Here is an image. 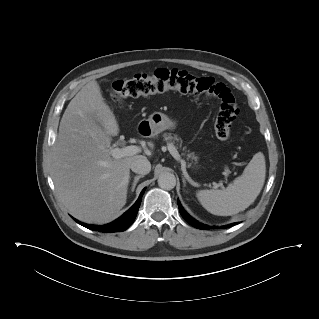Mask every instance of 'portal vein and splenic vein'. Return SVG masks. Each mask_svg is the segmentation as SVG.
<instances>
[{
	"label": "portal vein and splenic vein",
	"instance_id": "obj_1",
	"mask_svg": "<svg viewBox=\"0 0 319 319\" xmlns=\"http://www.w3.org/2000/svg\"><path fill=\"white\" fill-rule=\"evenodd\" d=\"M168 151L176 160L181 162L182 166H186V162L183 159H181L180 154L178 153L177 149L172 143L168 144ZM140 152L141 148L135 145L125 146L123 148H111L108 150V154L115 159L133 156Z\"/></svg>",
	"mask_w": 319,
	"mask_h": 319
}]
</instances>
